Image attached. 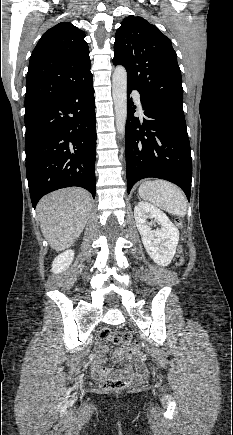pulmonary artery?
Instances as JSON below:
<instances>
[{
	"label": "pulmonary artery",
	"mask_w": 233,
	"mask_h": 435,
	"mask_svg": "<svg viewBox=\"0 0 233 435\" xmlns=\"http://www.w3.org/2000/svg\"><path fill=\"white\" fill-rule=\"evenodd\" d=\"M134 98H135L137 104L140 106L141 105V103H140V94L138 92L134 93Z\"/></svg>",
	"instance_id": "e3ab8cb5"
}]
</instances>
